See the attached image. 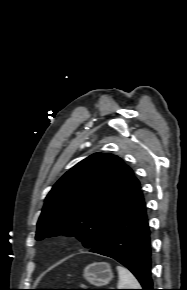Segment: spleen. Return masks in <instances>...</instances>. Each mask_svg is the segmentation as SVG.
<instances>
[{"mask_svg": "<svg viewBox=\"0 0 187 290\" xmlns=\"http://www.w3.org/2000/svg\"><path fill=\"white\" fill-rule=\"evenodd\" d=\"M119 274L118 289H140V284L135 276L125 267H117Z\"/></svg>", "mask_w": 187, "mask_h": 290, "instance_id": "3e777b00", "label": "spleen"}]
</instances>
